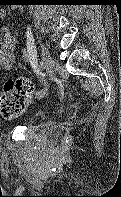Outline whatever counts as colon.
<instances>
[{"instance_id": "colon-1", "label": "colon", "mask_w": 121, "mask_h": 197, "mask_svg": "<svg viewBox=\"0 0 121 197\" xmlns=\"http://www.w3.org/2000/svg\"><path fill=\"white\" fill-rule=\"evenodd\" d=\"M33 91L34 85L25 78L5 82L0 91V114L5 119L19 117L25 111Z\"/></svg>"}]
</instances>
